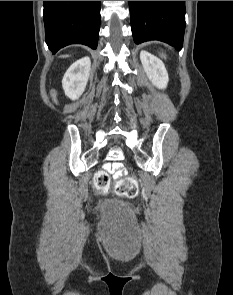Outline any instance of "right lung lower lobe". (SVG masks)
<instances>
[{"mask_svg":"<svg viewBox=\"0 0 233 295\" xmlns=\"http://www.w3.org/2000/svg\"><path fill=\"white\" fill-rule=\"evenodd\" d=\"M45 40L55 54L69 44L97 47L100 1H44Z\"/></svg>","mask_w":233,"mask_h":295,"instance_id":"obj_1","label":"right lung lower lobe"}]
</instances>
